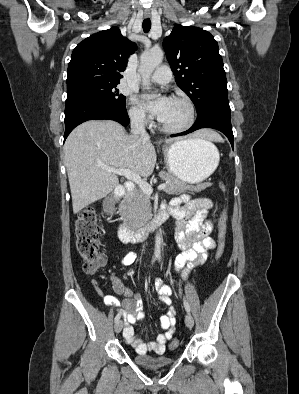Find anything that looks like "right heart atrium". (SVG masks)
I'll use <instances>...</instances> for the list:
<instances>
[{
	"mask_svg": "<svg viewBox=\"0 0 299 394\" xmlns=\"http://www.w3.org/2000/svg\"><path fill=\"white\" fill-rule=\"evenodd\" d=\"M129 117L131 121L138 126H146L149 123V116L144 109L138 104L137 100L130 99Z\"/></svg>",
	"mask_w": 299,
	"mask_h": 394,
	"instance_id": "d8ad5b80",
	"label": "right heart atrium"
}]
</instances>
